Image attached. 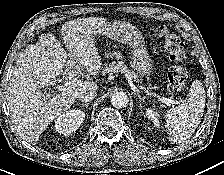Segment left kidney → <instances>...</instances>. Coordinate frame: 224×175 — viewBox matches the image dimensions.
Segmentation results:
<instances>
[{
  "label": "left kidney",
  "mask_w": 224,
  "mask_h": 175,
  "mask_svg": "<svg viewBox=\"0 0 224 175\" xmlns=\"http://www.w3.org/2000/svg\"><path fill=\"white\" fill-rule=\"evenodd\" d=\"M145 113L146 116L153 122L155 127L160 126V121L157 117V112H155L152 108H146Z\"/></svg>",
  "instance_id": "left-kidney-1"
}]
</instances>
